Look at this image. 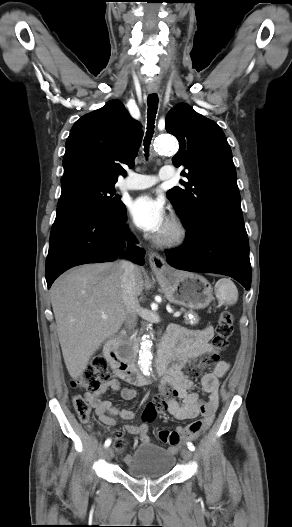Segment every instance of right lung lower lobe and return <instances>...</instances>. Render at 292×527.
Instances as JSON below:
<instances>
[{"label":"right lung lower lobe","instance_id":"obj_1","mask_svg":"<svg viewBox=\"0 0 292 527\" xmlns=\"http://www.w3.org/2000/svg\"><path fill=\"white\" fill-rule=\"evenodd\" d=\"M125 223L126 209L121 216L111 218L81 205L57 208L46 259L48 288L60 274L81 264L114 261L121 255L143 265L145 251L134 245L137 242ZM127 240L133 243L121 252Z\"/></svg>","mask_w":292,"mask_h":527}]
</instances>
